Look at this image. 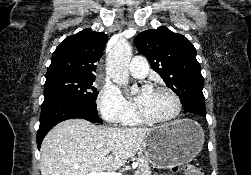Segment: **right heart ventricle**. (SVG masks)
Returning a JSON list of instances; mask_svg holds the SVG:
<instances>
[{"mask_svg":"<svg viewBox=\"0 0 251 175\" xmlns=\"http://www.w3.org/2000/svg\"><path fill=\"white\" fill-rule=\"evenodd\" d=\"M136 122V119H132L131 121L127 122L128 124H134Z\"/></svg>","mask_w":251,"mask_h":175,"instance_id":"obj_1","label":"right heart ventricle"}]
</instances>
